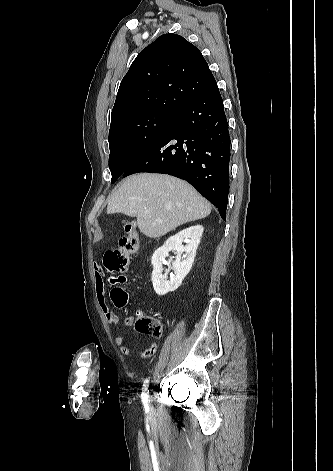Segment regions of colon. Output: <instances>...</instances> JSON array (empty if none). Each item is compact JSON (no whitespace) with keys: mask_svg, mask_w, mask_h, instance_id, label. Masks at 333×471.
<instances>
[{"mask_svg":"<svg viewBox=\"0 0 333 471\" xmlns=\"http://www.w3.org/2000/svg\"><path fill=\"white\" fill-rule=\"evenodd\" d=\"M124 229L127 235L120 239L118 247L109 250L104 255L105 267L115 274L111 282L115 288L111 292V297L118 307H123L127 302V293L120 287L126 281L125 272L128 269L131 256L138 252L139 236L135 223L124 222ZM136 329L152 337H160L162 334L161 321L153 316L139 313L135 323Z\"/></svg>","mask_w":333,"mask_h":471,"instance_id":"obj_1","label":"colon"}]
</instances>
